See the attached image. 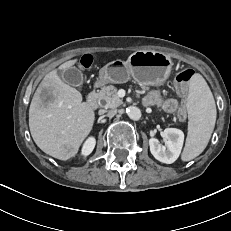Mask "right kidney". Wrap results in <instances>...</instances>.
Segmentation results:
<instances>
[{
    "label": "right kidney",
    "instance_id": "obj_1",
    "mask_svg": "<svg viewBox=\"0 0 231 231\" xmlns=\"http://www.w3.org/2000/svg\"><path fill=\"white\" fill-rule=\"evenodd\" d=\"M96 140L94 137H89L82 147V155L88 156L94 149Z\"/></svg>",
    "mask_w": 231,
    "mask_h": 231
}]
</instances>
